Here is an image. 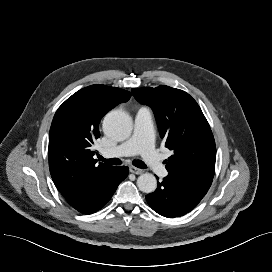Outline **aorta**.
Here are the masks:
<instances>
[{
	"label": "aorta",
	"mask_w": 272,
	"mask_h": 272,
	"mask_svg": "<svg viewBox=\"0 0 272 272\" xmlns=\"http://www.w3.org/2000/svg\"><path fill=\"white\" fill-rule=\"evenodd\" d=\"M103 131L111 139L121 141L128 138L132 131L130 116L121 110L110 111L103 120ZM137 186L144 193L156 190L157 180L153 174L144 173L137 179Z\"/></svg>",
	"instance_id": "aorta-1"
}]
</instances>
